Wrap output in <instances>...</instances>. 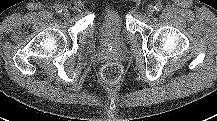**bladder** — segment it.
<instances>
[{
    "label": "bladder",
    "instance_id": "bladder-1",
    "mask_svg": "<svg viewBox=\"0 0 217 121\" xmlns=\"http://www.w3.org/2000/svg\"><path fill=\"white\" fill-rule=\"evenodd\" d=\"M98 31L101 41L112 48L120 47L126 35V28L119 13L106 9L98 20Z\"/></svg>",
    "mask_w": 217,
    "mask_h": 121
}]
</instances>
